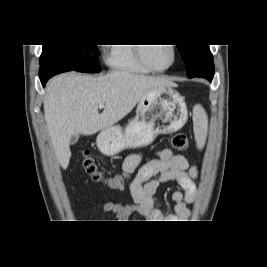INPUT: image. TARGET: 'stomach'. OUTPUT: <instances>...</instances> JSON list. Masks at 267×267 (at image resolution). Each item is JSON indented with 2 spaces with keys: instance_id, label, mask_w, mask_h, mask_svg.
Returning <instances> with one entry per match:
<instances>
[{
  "instance_id": "stomach-1",
  "label": "stomach",
  "mask_w": 267,
  "mask_h": 267,
  "mask_svg": "<svg viewBox=\"0 0 267 267\" xmlns=\"http://www.w3.org/2000/svg\"><path fill=\"white\" fill-rule=\"evenodd\" d=\"M187 118L184 98L173 87L157 88L140 99L135 118L124 129L121 126L103 129L96 144L102 154L114 156L125 149L147 146L159 134L178 131Z\"/></svg>"
}]
</instances>
